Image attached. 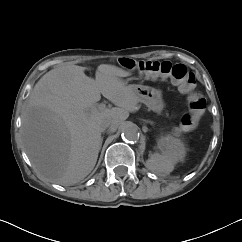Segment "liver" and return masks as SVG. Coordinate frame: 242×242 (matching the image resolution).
<instances>
[{
  "instance_id": "obj_1",
  "label": "liver",
  "mask_w": 242,
  "mask_h": 242,
  "mask_svg": "<svg viewBox=\"0 0 242 242\" xmlns=\"http://www.w3.org/2000/svg\"><path fill=\"white\" fill-rule=\"evenodd\" d=\"M85 69L64 65L50 70L34 86L22 116L23 143L34 169L61 185L76 184L93 170L103 118H114L118 129L139 109L134 85L121 79L129 72L101 64L92 79ZM101 94L116 107L92 110Z\"/></svg>"
}]
</instances>
